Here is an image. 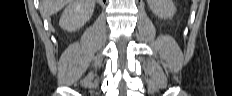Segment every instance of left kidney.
Here are the masks:
<instances>
[{
  "mask_svg": "<svg viewBox=\"0 0 232 96\" xmlns=\"http://www.w3.org/2000/svg\"><path fill=\"white\" fill-rule=\"evenodd\" d=\"M152 12L159 18H172L176 8L172 0H147Z\"/></svg>",
  "mask_w": 232,
  "mask_h": 96,
  "instance_id": "1",
  "label": "left kidney"
}]
</instances>
